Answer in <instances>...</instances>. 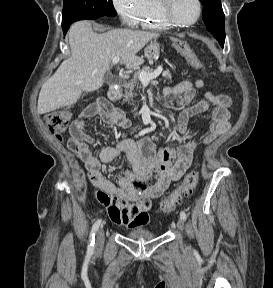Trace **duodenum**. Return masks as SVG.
Wrapping results in <instances>:
<instances>
[{
  "mask_svg": "<svg viewBox=\"0 0 273 288\" xmlns=\"http://www.w3.org/2000/svg\"><path fill=\"white\" fill-rule=\"evenodd\" d=\"M108 97L111 102H116L120 97V89L118 87L110 88L108 92ZM100 103L104 105V102H100Z\"/></svg>",
  "mask_w": 273,
  "mask_h": 288,
  "instance_id": "1",
  "label": "duodenum"
}]
</instances>
